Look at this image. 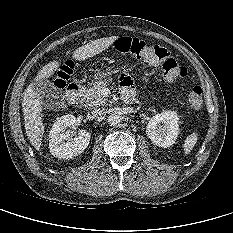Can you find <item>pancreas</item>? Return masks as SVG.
Returning <instances> with one entry per match:
<instances>
[{
	"label": "pancreas",
	"instance_id": "obj_1",
	"mask_svg": "<svg viewBox=\"0 0 233 233\" xmlns=\"http://www.w3.org/2000/svg\"><path fill=\"white\" fill-rule=\"evenodd\" d=\"M106 86H107L106 83H99L89 89L85 87H81L80 89L81 97H82V100L85 101V106L93 107V106L105 104L107 102V99H105L102 96L101 91Z\"/></svg>",
	"mask_w": 233,
	"mask_h": 233
}]
</instances>
